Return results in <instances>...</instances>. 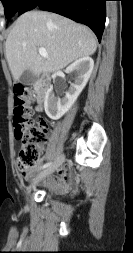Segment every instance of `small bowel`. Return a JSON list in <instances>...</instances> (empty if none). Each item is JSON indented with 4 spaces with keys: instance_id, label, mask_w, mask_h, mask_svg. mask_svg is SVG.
Returning a JSON list of instances; mask_svg holds the SVG:
<instances>
[{
    "instance_id": "small-bowel-1",
    "label": "small bowel",
    "mask_w": 133,
    "mask_h": 253,
    "mask_svg": "<svg viewBox=\"0 0 133 253\" xmlns=\"http://www.w3.org/2000/svg\"><path fill=\"white\" fill-rule=\"evenodd\" d=\"M44 160V157L41 158L36 166L26 171H23L22 176L26 179L33 176L42 167L41 164L44 162ZM47 182L53 188L63 191L68 189L72 185L73 176L69 170L63 168L58 171V176L49 177Z\"/></svg>"
}]
</instances>
